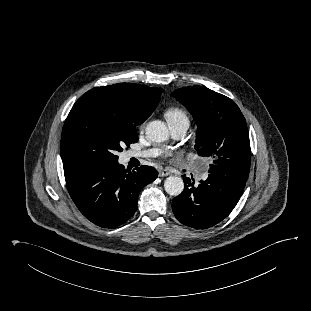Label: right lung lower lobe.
<instances>
[{
	"mask_svg": "<svg viewBox=\"0 0 311 311\" xmlns=\"http://www.w3.org/2000/svg\"><path fill=\"white\" fill-rule=\"evenodd\" d=\"M64 175L80 212L100 227L114 228L134 215L141 189L153 182L158 172L151 166L131 172L115 162L65 165Z\"/></svg>",
	"mask_w": 311,
	"mask_h": 311,
	"instance_id": "1",
	"label": "right lung lower lobe"
}]
</instances>
